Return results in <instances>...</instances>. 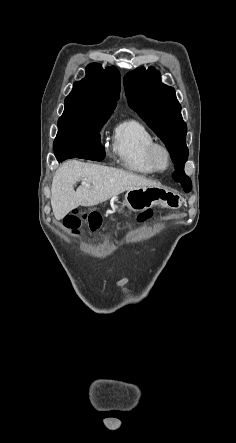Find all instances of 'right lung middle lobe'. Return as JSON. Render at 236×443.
Segmentation results:
<instances>
[{"mask_svg":"<svg viewBox=\"0 0 236 443\" xmlns=\"http://www.w3.org/2000/svg\"><path fill=\"white\" fill-rule=\"evenodd\" d=\"M109 117L110 114L64 111L58 120V133L53 143L54 151L66 147L101 145L99 131Z\"/></svg>","mask_w":236,"mask_h":443,"instance_id":"obj_1","label":"right lung middle lobe"}]
</instances>
